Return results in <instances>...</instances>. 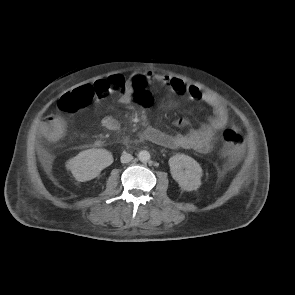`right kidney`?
I'll return each instance as SVG.
<instances>
[{"instance_id":"right-kidney-1","label":"right kidney","mask_w":295,"mask_h":295,"mask_svg":"<svg viewBox=\"0 0 295 295\" xmlns=\"http://www.w3.org/2000/svg\"><path fill=\"white\" fill-rule=\"evenodd\" d=\"M112 163L113 156L106 149H88L68 160L66 167L77 181L85 182L96 178Z\"/></svg>"}]
</instances>
